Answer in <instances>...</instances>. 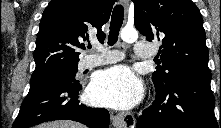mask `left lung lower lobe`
I'll return each mask as SVG.
<instances>
[{
	"instance_id": "obj_1",
	"label": "left lung lower lobe",
	"mask_w": 221,
	"mask_h": 128,
	"mask_svg": "<svg viewBox=\"0 0 221 128\" xmlns=\"http://www.w3.org/2000/svg\"><path fill=\"white\" fill-rule=\"evenodd\" d=\"M210 81L183 79L156 90L153 104L137 120V128H221L214 114Z\"/></svg>"
}]
</instances>
